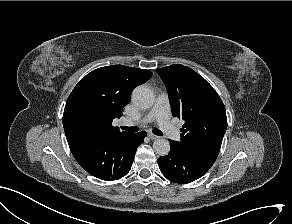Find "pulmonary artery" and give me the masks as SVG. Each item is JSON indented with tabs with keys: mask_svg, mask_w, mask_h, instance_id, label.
<instances>
[{
	"mask_svg": "<svg viewBox=\"0 0 292 224\" xmlns=\"http://www.w3.org/2000/svg\"><path fill=\"white\" fill-rule=\"evenodd\" d=\"M152 121H157L159 127L172 140L180 138V132L177 127L170 121V102L166 94H160L152 109L148 114L138 121L126 119V125L146 124Z\"/></svg>",
	"mask_w": 292,
	"mask_h": 224,
	"instance_id": "pulmonary-artery-1",
	"label": "pulmonary artery"
}]
</instances>
